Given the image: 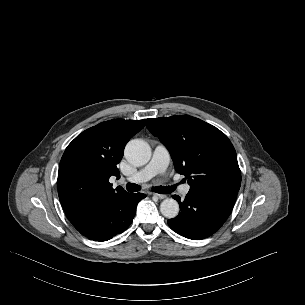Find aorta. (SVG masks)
I'll return each instance as SVG.
<instances>
[{
  "instance_id": "1",
  "label": "aorta",
  "mask_w": 305,
  "mask_h": 305,
  "mask_svg": "<svg viewBox=\"0 0 305 305\" xmlns=\"http://www.w3.org/2000/svg\"><path fill=\"white\" fill-rule=\"evenodd\" d=\"M124 155L132 165L143 166L150 160L151 150L145 141L134 139L127 143ZM160 211L166 218H175L179 213V204L176 200L167 198L161 202Z\"/></svg>"
}]
</instances>
